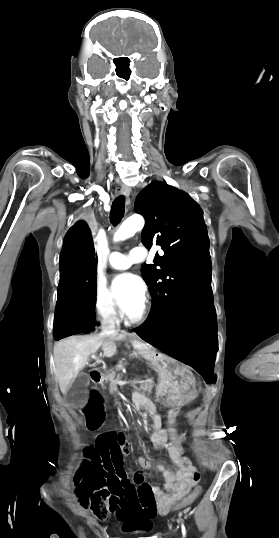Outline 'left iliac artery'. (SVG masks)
I'll return each instance as SVG.
<instances>
[{
	"label": "left iliac artery",
	"instance_id": "left-iliac-artery-1",
	"mask_svg": "<svg viewBox=\"0 0 279 538\" xmlns=\"http://www.w3.org/2000/svg\"><path fill=\"white\" fill-rule=\"evenodd\" d=\"M182 534H183V536H185V534H186V530H185V527H184L183 524H182Z\"/></svg>",
	"mask_w": 279,
	"mask_h": 538
}]
</instances>
